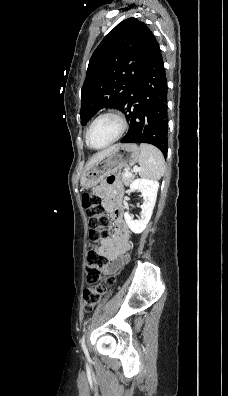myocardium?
<instances>
[{
	"mask_svg": "<svg viewBox=\"0 0 228 396\" xmlns=\"http://www.w3.org/2000/svg\"><path fill=\"white\" fill-rule=\"evenodd\" d=\"M104 117H113L114 119H116L117 122H118V124H119V131H118L117 135H116L110 142H108L107 144H105L104 146H102V147H93V146L90 144V141H89L90 132H91V130H92L94 124H95L99 119L104 118ZM127 128H128L127 120H126L125 116H124L120 111H118V110H107V111H104V112L100 113L99 115H97V116L92 120V122L90 123V125H89V127H88V129H87V131H86V136H85L86 144H87V146H88L89 148L94 149V150H102V149H105V148L111 146L112 144H114L115 142H117L119 139H121L122 136L125 134Z\"/></svg>",
	"mask_w": 228,
	"mask_h": 396,
	"instance_id": "1",
	"label": "myocardium"
}]
</instances>
